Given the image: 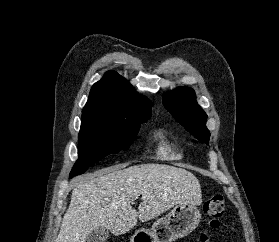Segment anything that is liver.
Listing matches in <instances>:
<instances>
[{
  "label": "liver",
  "instance_id": "obj_1",
  "mask_svg": "<svg viewBox=\"0 0 279 242\" xmlns=\"http://www.w3.org/2000/svg\"><path fill=\"white\" fill-rule=\"evenodd\" d=\"M118 165L75 179L56 242H86L99 227L122 235L178 203L200 205L201 186L189 171L162 164ZM146 196L138 207L134 199Z\"/></svg>",
  "mask_w": 279,
  "mask_h": 242
}]
</instances>
